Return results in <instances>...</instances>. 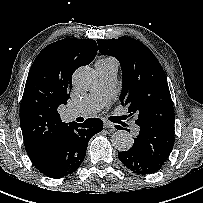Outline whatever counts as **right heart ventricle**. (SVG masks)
<instances>
[{
	"instance_id": "obj_1",
	"label": "right heart ventricle",
	"mask_w": 203,
	"mask_h": 203,
	"mask_svg": "<svg viewBox=\"0 0 203 203\" xmlns=\"http://www.w3.org/2000/svg\"><path fill=\"white\" fill-rule=\"evenodd\" d=\"M98 62L102 63L104 65H107V66H113V67L117 68V62H116V60L113 59V58H110V57H106V58L100 59Z\"/></svg>"
}]
</instances>
